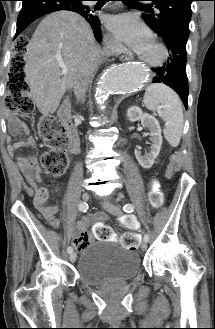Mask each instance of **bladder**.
Masks as SVG:
<instances>
[{"mask_svg":"<svg viewBox=\"0 0 215 329\" xmlns=\"http://www.w3.org/2000/svg\"><path fill=\"white\" fill-rule=\"evenodd\" d=\"M139 272L138 253L112 240H98L87 245L77 266L78 278L89 286L128 281Z\"/></svg>","mask_w":215,"mask_h":329,"instance_id":"31cf9c89","label":"bladder"}]
</instances>
